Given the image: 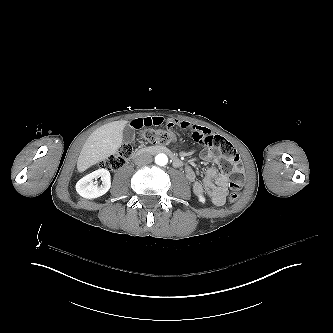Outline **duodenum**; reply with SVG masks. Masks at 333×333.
I'll return each instance as SVG.
<instances>
[{
  "mask_svg": "<svg viewBox=\"0 0 333 333\" xmlns=\"http://www.w3.org/2000/svg\"><path fill=\"white\" fill-rule=\"evenodd\" d=\"M166 154L170 157L173 165L177 168L182 166V161L167 147L161 145L147 146L137 149L133 157H139L145 154Z\"/></svg>",
  "mask_w": 333,
  "mask_h": 333,
  "instance_id": "1",
  "label": "duodenum"
}]
</instances>
